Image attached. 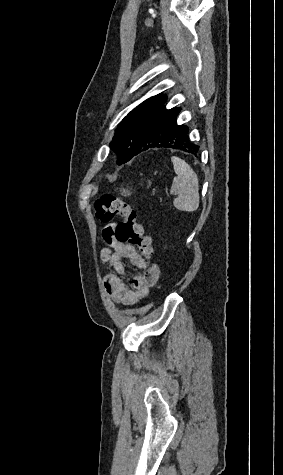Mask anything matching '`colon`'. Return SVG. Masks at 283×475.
<instances>
[{
    "label": "colon",
    "mask_w": 283,
    "mask_h": 475,
    "mask_svg": "<svg viewBox=\"0 0 283 475\" xmlns=\"http://www.w3.org/2000/svg\"><path fill=\"white\" fill-rule=\"evenodd\" d=\"M95 216L101 223L121 225V232L114 239L138 248L147 263L151 260L152 241L145 233L136 210L127 201L113 195L103 194L94 203Z\"/></svg>",
    "instance_id": "obj_1"
}]
</instances>
